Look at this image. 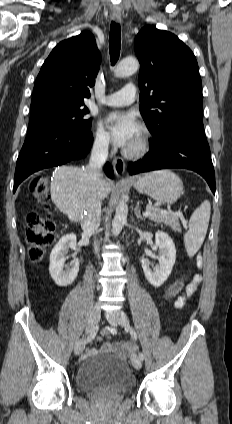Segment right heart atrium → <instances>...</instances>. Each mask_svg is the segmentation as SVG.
Returning a JSON list of instances; mask_svg holds the SVG:
<instances>
[{
    "label": "right heart atrium",
    "instance_id": "obj_1",
    "mask_svg": "<svg viewBox=\"0 0 232 424\" xmlns=\"http://www.w3.org/2000/svg\"><path fill=\"white\" fill-rule=\"evenodd\" d=\"M110 146V139L105 129L97 124L93 132V147L99 152L105 153Z\"/></svg>",
    "mask_w": 232,
    "mask_h": 424
}]
</instances>
